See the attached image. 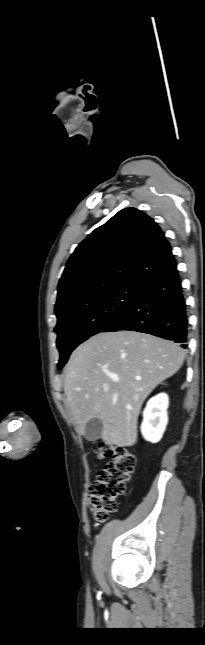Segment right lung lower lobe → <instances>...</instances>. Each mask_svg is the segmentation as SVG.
Listing matches in <instances>:
<instances>
[{
  "instance_id": "1",
  "label": "right lung lower lobe",
  "mask_w": 205,
  "mask_h": 645,
  "mask_svg": "<svg viewBox=\"0 0 205 645\" xmlns=\"http://www.w3.org/2000/svg\"><path fill=\"white\" fill-rule=\"evenodd\" d=\"M119 330L151 334L187 348L188 318L176 262L141 281L134 303L101 332Z\"/></svg>"
}]
</instances>
